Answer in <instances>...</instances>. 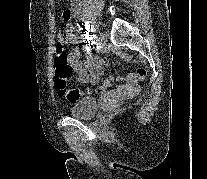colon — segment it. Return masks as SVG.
<instances>
[{"label": "colon", "mask_w": 207, "mask_h": 179, "mask_svg": "<svg viewBox=\"0 0 207 179\" xmlns=\"http://www.w3.org/2000/svg\"><path fill=\"white\" fill-rule=\"evenodd\" d=\"M54 72H55V87L59 91V95L73 102L85 94L102 93L110 85L114 78H109L104 83L96 88L81 89L78 87L69 86V80L72 74V68L69 63L68 53L65 51L62 43H58L56 46L55 58H54ZM146 76V70L144 68H138L135 72H132L125 77L118 78L127 84H135L142 81Z\"/></svg>", "instance_id": "5ec220e1"}]
</instances>
